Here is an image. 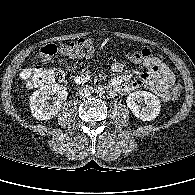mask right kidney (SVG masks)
Masks as SVG:
<instances>
[{
    "mask_svg": "<svg viewBox=\"0 0 195 195\" xmlns=\"http://www.w3.org/2000/svg\"><path fill=\"white\" fill-rule=\"evenodd\" d=\"M55 95L53 103L48 100ZM66 87L59 84H50L36 90L30 96V110L37 120H49L55 117L60 109L61 103L67 99Z\"/></svg>",
    "mask_w": 195,
    "mask_h": 195,
    "instance_id": "ca27d5eb",
    "label": "right kidney"
}]
</instances>
